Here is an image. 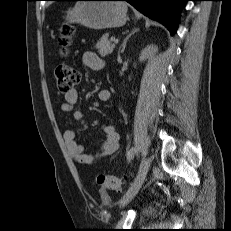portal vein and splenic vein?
I'll return each mask as SVG.
<instances>
[{"label": "portal vein and splenic vein", "mask_w": 231, "mask_h": 231, "mask_svg": "<svg viewBox=\"0 0 231 231\" xmlns=\"http://www.w3.org/2000/svg\"><path fill=\"white\" fill-rule=\"evenodd\" d=\"M111 41L114 42V43L118 42V40L115 37H111Z\"/></svg>", "instance_id": "obj_1"}]
</instances>
